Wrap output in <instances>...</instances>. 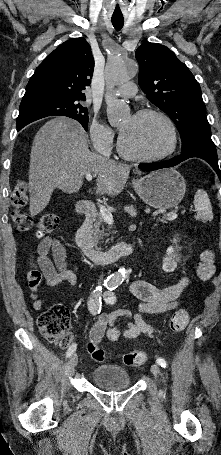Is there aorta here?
Returning <instances> with one entry per match:
<instances>
[{
  "label": "aorta",
  "instance_id": "1",
  "mask_svg": "<svg viewBox=\"0 0 221 455\" xmlns=\"http://www.w3.org/2000/svg\"><path fill=\"white\" fill-rule=\"evenodd\" d=\"M138 72V65L132 60L111 59L106 65L105 78L107 92L105 96L107 104V116L111 125H117L121 120L129 115V107L123 100H118L112 96V89L121 83L133 78ZM125 269L120 268L111 275L109 282L118 283L125 277Z\"/></svg>",
  "mask_w": 221,
  "mask_h": 455
}]
</instances>
